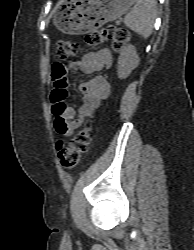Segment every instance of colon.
<instances>
[{
  "label": "colon",
  "instance_id": "5ec220e1",
  "mask_svg": "<svg viewBox=\"0 0 194 250\" xmlns=\"http://www.w3.org/2000/svg\"><path fill=\"white\" fill-rule=\"evenodd\" d=\"M129 40L128 32L123 28L106 26L89 32L85 43L89 47H96L110 41L115 49H121ZM79 45L70 40H60L55 44L54 55L59 59H68L77 54ZM67 98V92L53 91V110H59V102ZM90 144V129L83 128L77 132L73 139L64 145L59 142L57 153L63 167L69 168L76 164L87 151Z\"/></svg>",
  "mask_w": 194,
  "mask_h": 250
}]
</instances>
